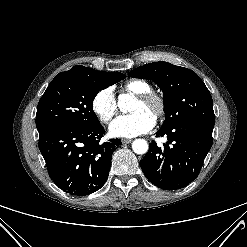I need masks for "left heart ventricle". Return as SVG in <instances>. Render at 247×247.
Returning <instances> with one entry per match:
<instances>
[{
    "mask_svg": "<svg viewBox=\"0 0 247 247\" xmlns=\"http://www.w3.org/2000/svg\"><path fill=\"white\" fill-rule=\"evenodd\" d=\"M139 110H143V111H145V112H147V113H149V114L154 116L155 108H154L153 105H145V104L141 103L140 101L136 100L134 102V105H133L131 111L132 112H136V111H139Z\"/></svg>",
    "mask_w": 247,
    "mask_h": 247,
    "instance_id": "left-heart-ventricle-1",
    "label": "left heart ventricle"
}]
</instances>
